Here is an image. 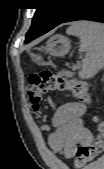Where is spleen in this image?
Listing matches in <instances>:
<instances>
[{
    "label": "spleen",
    "instance_id": "3e777b00",
    "mask_svg": "<svg viewBox=\"0 0 104 169\" xmlns=\"http://www.w3.org/2000/svg\"><path fill=\"white\" fill-rule=\"evenodd\" d=\"M67 34L79 37L78 51L85 52L79 77H94L104 66V26L94 22H75L67 29Z\"/></svg>",
    "mask_w": 104,
    "mask_h": 169
}]
</instances>
